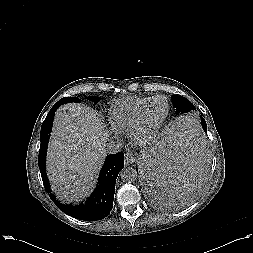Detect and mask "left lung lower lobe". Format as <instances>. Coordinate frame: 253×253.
I'll return each mask as SVG.
<instances>
[{
    "label": "left lung lower lobe",
    "mask_w": 253,
    "mask_h": 253,
    "mask_svg": "<svg viewBox=\"0 0 253 253\" xmlns=\"http://www.w3.org/2000/svg\"><path fill=\"white\" fill-rule=\"evenodd\" d=\"M203 130L207 125L201 116ZM152 165L142 172L151 202L157 207L170 208L192 197L207 168V157L201 143L196 141L179 148L172 155L154 154Z\"/></svg>",
    "instance_id": "0a47b994"
}]
</instances>
